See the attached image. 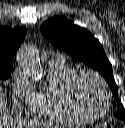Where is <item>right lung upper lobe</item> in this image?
I'll list each match as a JSON object with an SVG mask.
<instances>
[{
  "label": "right lung upper lobe",
  "instance_id": "1",
  "mask_svg": "<svg viewBox=\"0 0 125 128\" xmlns=\"http://www.w3.org/2000/svg\"><path fill=\"white\" fill-rule=\"evenodd\" d=\"M26 32L24 27L0 26V64L13 66V53L20 47Z\"/></svg>",
  "mask_w": 125,
  "mask_h": 128
}]
</instances>
